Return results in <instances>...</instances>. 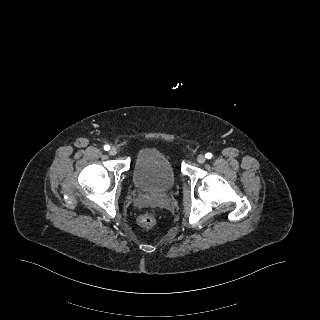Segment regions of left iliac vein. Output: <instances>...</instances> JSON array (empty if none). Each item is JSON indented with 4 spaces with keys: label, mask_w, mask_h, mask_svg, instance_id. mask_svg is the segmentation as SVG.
<instances>
[{
    "label": "left iliac vein",
    "mask_w": 320,
    "mask_h": 320,
    "mask_svg": "<svg viewBox=\"0 0 320 320\" xmlns=\"http://www.w3.org/2000/svg\"><path fill=\"white\" fill-rule=\"evenodd\" d=\"M205 156L204 155H198V157H197V162L198 163H200V164H202V163H204L205 162Z\"/></svg>",
    "instance_id": "1"
}]
</instances>
